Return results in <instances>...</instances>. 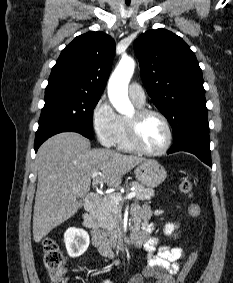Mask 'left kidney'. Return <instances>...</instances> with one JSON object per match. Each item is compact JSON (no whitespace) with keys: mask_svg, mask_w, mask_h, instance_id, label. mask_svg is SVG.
Here are the masks:
<instances>
[{"mask_svg":"<svg viewBox=\"0 0 233 283\" xmlns=\"http://www.w3.org/2000/svg\"><path fill=\"white\" fill-rule=\"evenodd\" d=\"M175 225L174 224H166V226H165V230H164V233L166 234V235H171V233L174 231V229H175Z\"/></svg>","mask_w":233,"mask_h":283,"instance_id":"1","label":"left kidney"}]
</instances>
